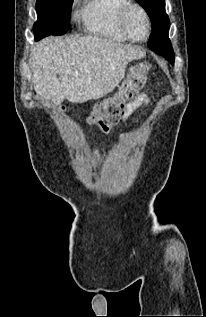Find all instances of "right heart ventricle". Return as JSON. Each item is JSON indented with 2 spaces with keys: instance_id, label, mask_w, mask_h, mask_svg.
<instances>
[{
  "instance_id": "obj_1",
  "label": "right heart ventricle",
  "mask_w": 206,
  "mask_h": 317,
  "mask_svg": "<svg viewBox=\"0 0 206 317\" xmlns=\"http://www.w3.org/2000/svg\"><path fill=\"white\" fill-rule=\"evenodd\" d=\"M129 3L130 0H87L77 15L87 33L115 42H125L127 38L118 28V16Z\"/></svg>"
}]
</instances>
